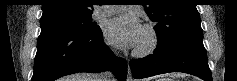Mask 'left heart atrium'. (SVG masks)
<instances>
[{"mask_svg": "<svg viewBox=\"0 0 237 81\" xmlns=\"http://www.w3.org/2000/svg\"><path fill=\"white\" fill-rule=\"evenodd\" d=\"M143 29L133 15H122L111 20L106 29V37L121 47H136Z\"/></svg>", "mask_w": 237, "mask_h": 81, "instance_id": "obj_1", "label": "left heart atrium"}]
</instances>
